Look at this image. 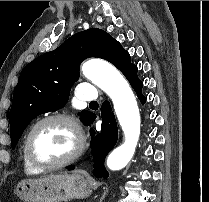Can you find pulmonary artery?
I'll return each mask as SVG.
<instances>
[{
  "label": "pulmonary artery",
  "instance_id": "pulmonary-artery-1",
  "mask_svg": "<svg viewBox=\"0 0 209 202\" xmlns=\"http://www.w3.org/2000/svg\"><path fill=\"white\" fill-rule=\"evenodd\" d=\"M78 98L83 101L93 102L98 99V91L90 86L81 85Z\"/></svg>",
  "mask_w": 209,
  "mask_h": 202
}]
</instances>
